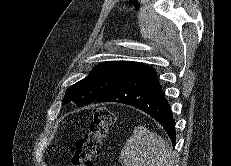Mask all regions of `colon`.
I'll return each mask as SVG.
<instances>
[{
    "mask_svg": "<svg viewBox=\"0 0 231 166\" xmlns=\"http://www.w3.org/2000/svg\"><path fill=\"white\" fill-rule=\"evenodd\" d=\"M115 116L107 107H96L93 110V122L89 132L76 142L71 157V166H93L99 154L103 140L113 125Z\"/></svg>",
    "mask_w": 231,
    "mask_h": 166,
    "instance_id": "colon-1",
    "label": "colon"
}]
</instances>
